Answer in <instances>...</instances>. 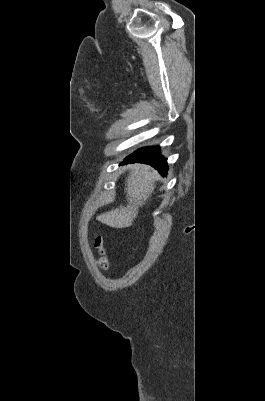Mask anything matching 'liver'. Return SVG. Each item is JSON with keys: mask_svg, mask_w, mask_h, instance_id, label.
<instances>
[{"mask_svg": "<svg viewBox=\"0 0 265 401\" xmlns=\"http://www.w3.org/2000/svg\"><path fill=\"white\" fill-rule=\"evenodd\" d=\"M129 176H126L124 192H127L128 205L119 209H113L109 213H103L97 217L104 225L114 229L131 227L139 213V207L146 205L149 196L155 188V180L158 178L156 170L148 164H129Z\"/></svg>", "mask_w": 265, "mask_h": 401, "instance_id": "obj_1", "label": "liver"}]
</instances>
